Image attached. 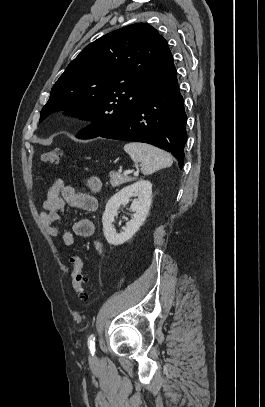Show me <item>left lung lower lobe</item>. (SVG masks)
Segmentation results:
<instances>
[{
    "label": "left lung lower lobe",
    "instance_id": "obj_1",
    "mask_svg": "<svg viewBox=\"0 0 265 407\" xmlns=\"http://www.w3.org/2000/svg\"><path fill=\"white\" fill-rule=\"evenodd\" d=\"M187 116L177 76L161 86L129 116L101 137L138 141L172 153L183 167Z\"/></svg>",
    "mask_w": 265,
    "mask_h": 407
}]
</instances>
